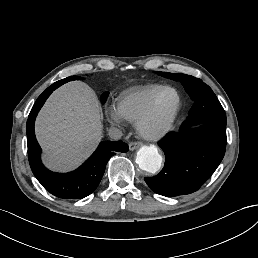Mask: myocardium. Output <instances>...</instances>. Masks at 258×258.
<instances>
[{"instance_id": "1", "label": "myocardium", "mask_w": 258, "mask_h": 258, "mask_svg": "<svg viewBox=\"0 0 258 258\" xmlns=\"http://www.w3.org/2000/svg\"><path fill=\"white\" fill-rule=\"evenodd\" d=\"M164 92H172L174 94V96H175L174 111H173L170 119L165 124V126L161 129L160 132H158L157 134H148L143 131L142 124H143L144 120L147 119L152 114L157 99ZM180 104H181L180 96L174 88L165 86V87H161L160 89H158L156 91V93L153 95V97L151 98V100L149 101V103L147 104L144 111L138 116V118L136 120L135 125H136V130H137L139 136L143 139L152 140V141L160 140V139L164 138L165 136H167L175 124V121H176V118H177V115H178V112L180 109Z\"/></svg>"}]
</instances>
